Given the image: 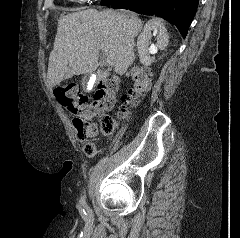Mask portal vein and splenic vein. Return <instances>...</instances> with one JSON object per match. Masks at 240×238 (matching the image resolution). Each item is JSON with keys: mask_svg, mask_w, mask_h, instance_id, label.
I'll return each instance as SVG.
<instances>
[{"mask_svg": "<svg viewBox=\"0 0 240 238\" xmlns=\"http://www.w3.org/2000/svg\"><path fill=\"white\" fill-rule=\"evenodd\" d=\"M104 63L107 64L108 66H112V62H111V60L108 59V58H105V59H104Z\"/></svg>", "mask_w": 240, "mask_h": 238, "instance_id": "portal-vein-and-splenic-vein-1", "label": "portal vein and splenic vein"}]
</instances>
